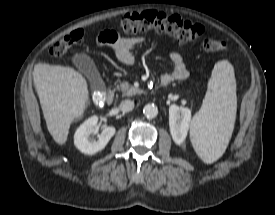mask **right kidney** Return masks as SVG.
<instances>
[{"mask_svg":"<svg viewBox=\"0 0 275 215\" xmlns=\"http://www.w3.org/2000/svg\"><path fill=\"white\" fill-rule=\"evenodd\" d=\"M98 117L88 118L75 132L74 144L84 154L93 155L105 148L115 134L114 127H106L97 135V140L90 137L98 132Z\"/></svg>","mask_w":275,"mask_h":215,"instance_id":"ca27d5eb","label":"right kidney"}]
</instances>
